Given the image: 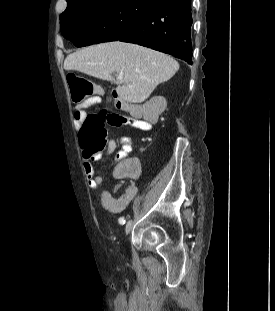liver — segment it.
I'll use <instances>...</instances> for the list:
<instances>
[{
  "instance_id": "6515ba94",
  "label": "liver",
  "mask_w": 275,
  "mask_h": 311,
  "mask_svg": "<svg viewBox=\"0 0 275 311\" xmlns=\"http://www.w3.org/2000/svg\"><path fill=\"white\" fill-rule=\"evenodd\" d=\"M64 69L115 83L121 100L142 103L158 84L169 80L178 71L179 64L164 53L115 41L89 46L68 55ZM113 73L121 74L123 79H115Z\"/></svg>"
}]
</instances>
